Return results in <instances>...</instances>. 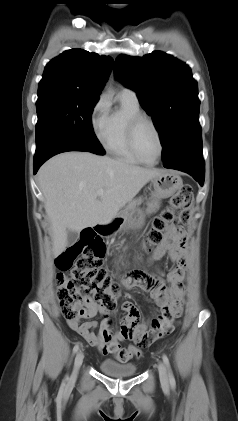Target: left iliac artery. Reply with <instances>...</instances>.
I'll list each match as a JSON object with an SVG mask.
<instances>
[{
	"label": "left iliac artery",
	"instance_id": "left-iliac-artery-1",
	"mask_svg": "<svg viewBox=\"0 0 238 421\" xmlns=\"http://www.w3.org/2000/svg\"><path fill=\"white\" fill-rule=\"evenodd\" d=\"M162 358H163V361H164L166 367L168 368L170 385H171L172 388H175L176 381H175L174 375H173V373L171 371L169 359H168V357L165 354H163Z\"/></svg>",
	"mask_w": 238,
	"mask_h": 421
}]
</instances>
